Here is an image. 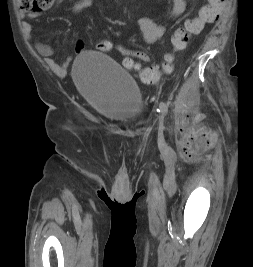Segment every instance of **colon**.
<instances>
[{"label": "colon", "instance_id": "5ec220e1", "mask_svg": "<svg viewBox=\"0 0 253 267\" xmlns=\"http://www.w3.org/2000/svg\"><path fill=\"white\" fill-rule=\"evenodd\" d=\"M18 6L22 11L41 12L51 7L54 0H17ZM225 0H208L196 17L188 19L184 26L177 30L173 37V46L175 51H181L186 48L189 40L202 32L207 24L216 22L222 12ZM96 48L101 52L117 51L125 56L122 64L127 69L140 71V78L143 82L152 83L159 79L160 73L157 68L147 66L142 68L140 63L135 62V58L143 62L148 61V56L141 51L129 49L122 45H116L109 40H99ZM174 56L167 55L163 64L164 71L170 73L174 67Z\"/></svg>", "mask_w": 253, "mask_h": 267}]
</instances>
